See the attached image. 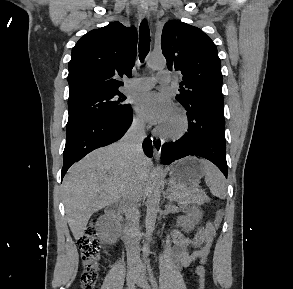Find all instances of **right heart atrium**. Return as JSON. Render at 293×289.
I'll return each mask as SVG.
<instances>
[{"mask_svg": "<svg viewBox=\"0 0 293 289\" xmlns=\"http://www.w3.org/2000/svg\"><path fill=\"white\" fill-rule=\"evenodd\" d=\"M132 127L135 130L142 131L145 127L143 119L141 117L135 115L132 119Z\"/></svg>", "mask_w": 293, "mask_h": 289, "instance_id": "obj_1", "label": "right heart atrium"}]
</instances>
